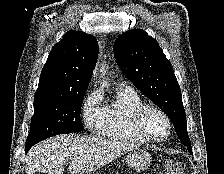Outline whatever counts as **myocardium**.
I'll use <instances>...</instances> for the list:
<instances>
[{
  "instance_id": "obj_1",
  "label": "myocardium",
  "mask_w": 224,
  "mask_h": 174,
  "mask_svg": "<svg viewBox=\"0 0 224 174\" xmlns=\"http://www.w3.org/2000/svg\"><path fill=\"white\" fill-rule=\"evenodd\" d=\"M149 112H156L159 115H161L167 124V132L164 136L161 137H155L150 135L146 128H145V117ZM133 125L137 133L144 138L146 141L149 142H162L166 140L172 131V123L171 119L167 115L165 111H163L161 108L154 106V105H148L143 104L140 108L137 109V111L134 113L133 116Z\"/></svg>"
}]
</instances>
